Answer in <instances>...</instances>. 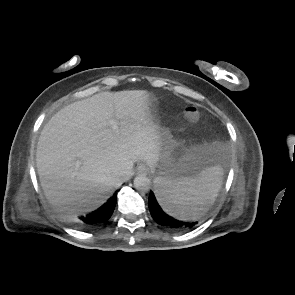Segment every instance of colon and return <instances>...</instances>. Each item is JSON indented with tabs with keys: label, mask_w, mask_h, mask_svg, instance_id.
Returning a JSON list of instances; mask_svg holds the SVG:
<instances>
[{
	"label": "colon",
	"mask_w": 295,
	"mask_h": 295,
	"mask_svg": "<svg viewBox=\"0 0 295 295\" xmlns=\"http://www.w3.org/2000/svg\"><path fill=\"white\" fill-rule=\"evenodd\" d=\"M184 115L187 120H189L191 122H195L199 118V111L194 106H188L184 110Z\"/></svg>",
	"instance_id": "obj_1"
}]
</instances>
